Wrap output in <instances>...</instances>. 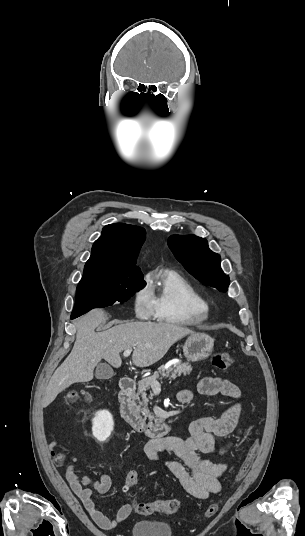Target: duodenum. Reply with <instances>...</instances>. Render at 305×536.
I'll return each mask as SVG.
<instances>
[{"label": "duodenum", "mask_w": 305, "mask_h": 536, "mask_svg": "<svg viewBox=\"0 0 305 536\" xmlns=\"http://www.w3.org/2000/svg\"><path fill=\"white\" fill-rule=\"evenodd\" d=\"M136 383L130 377H123L120 381V413L122 419L139 433L155 439L163 437L171 428L170 422L161 424L147 423L136 406Z\"/></svg>", "instance_id": "obj_1"}]
</instances>
